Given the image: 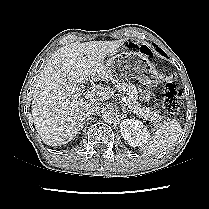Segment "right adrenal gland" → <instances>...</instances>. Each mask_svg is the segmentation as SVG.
I'll return each instance as SVG.
<instances>
[{"instance_id":"2a0ac1e0","label":"right adrenal gland","mask_w":209,"mask_h":209,"mask_svg":"<svg viewBox=\"0 0 209 209\" xmlns=\"http://www.w3.org/2000/svg\"><path fill=\"white\" fill-rule=\"evenodd\" d=\"M91 117H92L91 115H86L83 124H84L85 122H87V124H88V123H89V120L91 119Z\"/></svg>"}]
</instances>
